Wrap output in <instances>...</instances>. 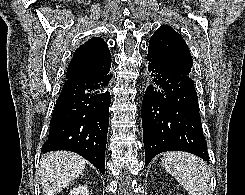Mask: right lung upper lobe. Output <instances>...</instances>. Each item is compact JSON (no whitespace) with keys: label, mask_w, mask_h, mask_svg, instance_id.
<instances>
[{"label":"right lung upper lobe","mask_w":245,"mask_h":195,"mask_svg":"<svg viewBox=\"0 0 245 195\" xmlns=\"http://www.w3.org/2000/svg\"><path fill=\"white\" fill-rule=\"evenodd\" d=\"M111 64V54L102 38L94 37L76 49L68 66L66 79L84 77L95 71L107 69Z\"/></svg>","instance_id":"right-lung-upper-lobe-1"}]
</instances>
